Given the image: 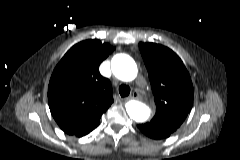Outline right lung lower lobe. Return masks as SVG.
<instances>
[{
	"mask_svg": "<svg viewBox=\"0 0 240 160\" xmlns=\"http://www.w3.org/2000/svg\"><path fill=\"white\" fill-rule=\"evenodd\" d=\"M97 126H98V124H97V125H94V126H92V127H90V128H87V129H85V130L77 133L75 136H77V137H82V136H84V135H87L89 132H91V131H92L93 129H95Z\"/></svg>",
	"mask_w": 240,
	"mask_h": 160,
	"instance_id": "obj_1",
	"label": "right lung lower lobe"
}]
</instances>
